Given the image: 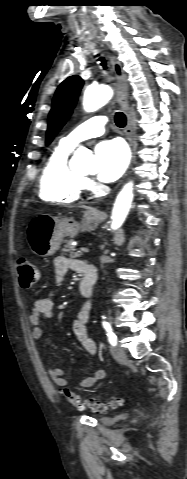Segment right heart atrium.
Returning a JSON list of instances; mask_svg holds the SVG:
<instances>
[{"label": "right heart atrium", "mask_w": 187, "mask_h": 479, "mask_svg": "<svg viewBox=\"0 0 187 479\" xmlns=\"http://www.w3.org/2000/svg\"><path fill=\"white\" fill-rule=\"evenodd\" d=\"M84 183H85L86 185H90V184H91V181L88 180V179H84Z\"/></svg>", "instance_id": "d8ad5b80"}]
</instances>
